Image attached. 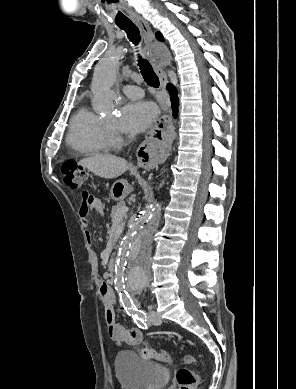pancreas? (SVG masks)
<instances>
[{"instance_id":"obj_1","label":"pancreas","mask_w":296,"mask_h":389,"mask_svg":"<svg viewBox=\"0 0 296 389\" xmlns=\"http://www.w3.org/2000/svg\"><path fill=\"white\" fill-rule=\"evenodd\" d=\"M123 206H125V203H124L123 201L118 202L117 205L114 206V207L112 208L110 217H111L112 219H114V218H115V215H116V212H117L121 207H123Z\"/></svg>"}]
</instances>
